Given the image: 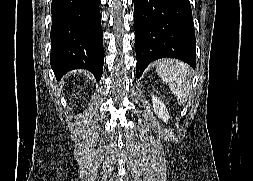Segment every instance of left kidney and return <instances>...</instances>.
<instances>
[{
    "mask_svg": "<svg viewBox=\"0 0 253 181\" xmlns=\"http://www.w3.org/2000/svg\"><path fill=\"white\" fill-rule=\"evenodd\" d=\"M152 103L154 112L158 115L160 119H162L164 122H167L169 119V114L164 103L154 95L152 96Z\"/></svg>",
    "mask_w": 253,
    "mask_h": 181,
    "instance_id": "left-kidney-1",
    "label": "left kidney"
}]
</instances>
